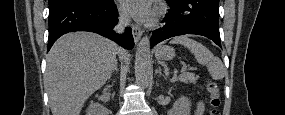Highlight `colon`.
Returning a JSON list of instances; mask_svg holds the SVG:
<instances>
[{"instance_id": "1", "label": "colon", "mask_w": 285, "mask_h": 115, "mask_svg": "<svg viewBox=\"0 0 285 115\" xmlns=\"http://www.w3.org/2000/svg\"><path fill=\"white\" fill-rule=\"evenodd\" d=\"M207 87L210 93V106H211L210 114H216L217 107L219 106L220 103L217 86L214 82L209 81Z\"/></svg>"}]
</instances>
